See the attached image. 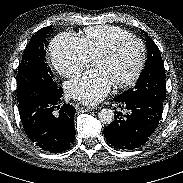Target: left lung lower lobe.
I'll return each instance as SVG.
<instances>
[{"label":"left lung lower lobe","mask_w":183,"mask_h":183,"mask_svg":"<svg viewBox=\"0 0 183 183\" xmlns=\"http://www.w3.org/2000/svg\"><path fill=\"white\" fill-rule=\"evenodd\" d=\"M114 101L127 113L116 111L115 120L104 129L106 140L118 149L140 147L158 126L162 110L146 102L121 96L114 97Z\"/></svg>","instance_id":"1"}]
</instances>
